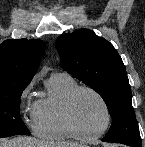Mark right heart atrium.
<instances>
[{
	"label": "right heart atrium",
	"mask_w": 145,
	"mask_h": 147,
	"mask_svg": "<svg viewBox=\"0 0 145 147\" xmlns=\"http://www.w3.org/2000/svg\"><path fill=\"white\" fill-rule=\"evenodd\" d=\"M30 92H31V85L26 86L21 92L19 103H20V109L23 113L26 112L25 103L27 98L30 95ZM31 116H32V122H33V109L31 110ZM26 120L28 121V119Z\"/></svg>",
	"instance_id": "1"
}]
</instances>
